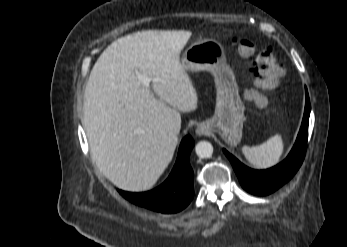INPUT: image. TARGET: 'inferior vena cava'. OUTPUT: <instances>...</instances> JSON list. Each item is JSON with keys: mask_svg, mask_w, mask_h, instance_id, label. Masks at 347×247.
Returning a JSON list of instances; mask_svg holds the SVG:
<instances>
[{"mask_svg": "<svg viewBox=\"0 0 347 247\" xmlns=\"http://www.w3.org/2000/svg\"><path fill=\"white\" fill-rule=\"evenodd\" d=\"M180 131V127H173V132L178 134Z\"/></svg>", "mask_w": 347, "mask_h": 247, "instance_id": "1", "label": "inferior vena cava"}]
</instances>
